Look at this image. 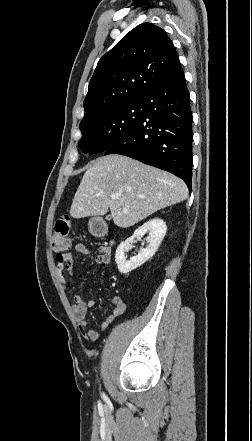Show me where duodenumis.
<instances>
[{
    "label": "duodenum",
    "mask_w": 252,
    "mask_h": 441,
    "mask_svg": "<svg viewBox=\"0 0 252 441\" xmlns=\"http://www.w3.org/2000/svg\"><path fill=\"white\" fill-rule=\"evenodd\" d=\"M92 231L95 235L102 236L106 232V227L103 223L94 221L92 223Z\"/></svg>",
    "instance_id": "obj_1"
}]
</instances>
